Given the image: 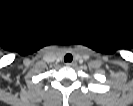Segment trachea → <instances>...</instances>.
<instances>
[{
	"label": "trachea",
	"instance_id": "3493384b",
	"mask_svg": "<svg viewBox=\"0 0 133 106\" xmlns=\"http://www.w3.org/2000/svg\"><path fill=\"white\" fill-rule=\"evenodd\" d=\"M73 60V56L71 54H66L64 57L65 62H71Z\"/></svg>",
	"mask_w": 133,
	"mask_h": 106
}]
</instances>
